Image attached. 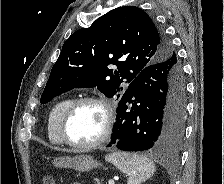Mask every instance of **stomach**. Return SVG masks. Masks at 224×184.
Returning <instances> with one entry per match:
<instances>
[{
  "mask_svg": "<svg viewBox=\"0 0 224 184\" xmlns=\"http://www.w3.org/2000/svg\"><path fill=\"white\" fill-rule=\"evenodd\" d=\"M56 167L72 168L80 172H88L92 169L101 167L102 164L97 162L90 155H78L75 157H60L53 161Z\"/></svg>",
  "mask_w": 224,
  "mask_h": 184,
  "instance_id": "obj_1",
  "label": "stomach"
}]
</instances>
